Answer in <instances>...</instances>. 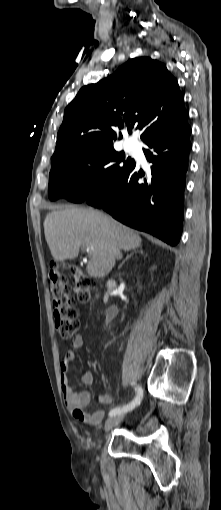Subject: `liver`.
I'll return each mask as SVG.
<instances>
[{"mask_svg": "<svg viewBox=\"0 0 221 510\" xmlns=\"http://www.w3.org/2000/svg\"><path fill=\"white\" fill-rule=\"evenodd\" d=\"M44 233L56 261L76 258L81 248H94L89 251L86 268L94 278L106 276L114 267V247L130 251L141 246V237L135 231L94 209L53 210L45 218Z\"/></svg>", "mask_w": 221, "mask_h": 510, "instance_id": "6515ba94", "label": "liver"}]
</instances>
